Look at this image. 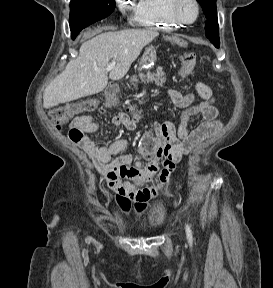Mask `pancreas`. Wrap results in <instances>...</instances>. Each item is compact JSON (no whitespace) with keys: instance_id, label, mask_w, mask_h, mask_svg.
I'll list each match as a JSON object with an SVG mask.
<instances>
[{"instance_id":"cf45deb5","label":"pancreas","mask_w":273,"mask_h":288,"mask_svg":"<svg viewBox=\"0 0 273 288\" xmlns=\"http://www.w3.org/2000/svg\"><path fill=\"white\" fill-rule=\"evenodd\" d=\"M139 79L141 82H155L158 86H162L166 82L165 73L162 69H157L156 73H151L147 71L146 73H140L138 76L133 75L130 78L131 85L136 86L139 83Z\"/></svg>"}]
</instances>
